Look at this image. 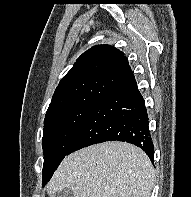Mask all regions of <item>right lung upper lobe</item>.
I'll use <instances>...</instances> for the list:
<instances>
[{"label":"right lung upper lobe","instance_id":"obj_1","mask_svg":"<svg viewBox=\"0 0 191 197\" xmlns=\"http://www.w3.org/2000/svg\"><path fill=\"white\" fill-rule=\"evenodd\" d=\"M134 78L124 53L110 45L84 52L59 82L45 117L83 105H95L115 86Z\"/></svg>","mask_w":191,"mask_h":197}]
</instances>
